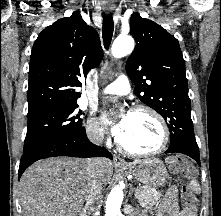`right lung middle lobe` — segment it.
<instances>
[{
  "label": "right lung middle lobe",
  "mask_w": 221,
  "mask_h": 216,
  "mask_svg": "<svg viewBox=\"0 0 221 216\" xmlns=\"http://www.w3.org/2000/svg\"><path fill=\"white\" fill-rule=\"evenodd\" d=\"M77 107L78 105L74 104L28 115L23 153L53 139L82 130V119H79L82 112L77 113L75 111Z\"/></svg>",
  "instance_id": "obj_1"
}]
</instances>
